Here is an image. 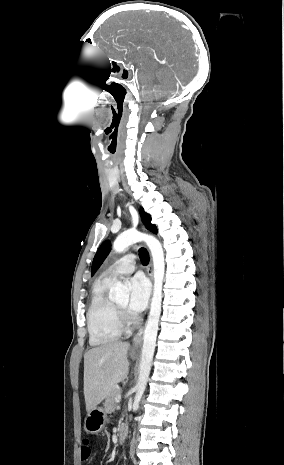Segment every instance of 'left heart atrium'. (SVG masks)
Masks as SVG:
<instances>
[{
  "label": "left heart atrium",
  "instance_id": "left-heart-atrium-1",
  "mask_svg": "<svg viewBox=\"0 0 284 465\" xmlns=\"http://www.w3.org/2000/svg\"><path fill=\"white\" fill-rule=\"evenodd\" d=\"M130 299L127 311L131 316L139 315L147 306L150 288L147 280L142 275H136L129 281Z\"/></svg>",
  "mask_w": 284,
  "mask_h": 465
}]
</instances>
